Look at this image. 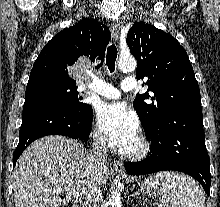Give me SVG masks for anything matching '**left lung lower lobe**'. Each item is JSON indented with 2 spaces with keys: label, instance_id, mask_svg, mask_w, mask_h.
Listing matches in <instances>:
<instances>
[{
  "label": "left lung lower lobe",
  "instance_id": "left-lung-lower-lobe-1",
  "mask_svg": "<svg viewBox=\"0 0 220 207\" xmlns=\"http://www.w3.org/2000/svg\"><path fill=\"white\" fill-rule=\"evenodd\" d=\"M146 136L151 140V153L141 162H128L130 175H143L162 170L184 172L203 186L210 195V160L205 146L202 107L187 106L165 117Z\"/></svg>",
  "mask_w": 220,
  "mask_h": 207
}]
</instances>
